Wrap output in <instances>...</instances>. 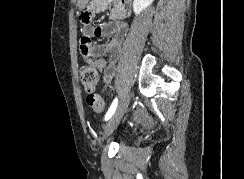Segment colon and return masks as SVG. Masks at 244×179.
Listing matches in <instances>:
<instances>
[{"label": "colon", "instance_id": "5ec220e1", "mask_svg": "<svg viewBox=\"0 0 244 179\" xmlns=\"http://www.w3.org/2000/svg\"><path fill=\"white\" fill-rule=\"evenodd\" d=\"M80 79L84 90L88 93L86 97L88 108L95 114H101L105 110L104 98L95 92L98 84L97 71L88 64L82 66Z\"/></svg>", "mask_w": 244, "mask_h": 179}]
</instances>
